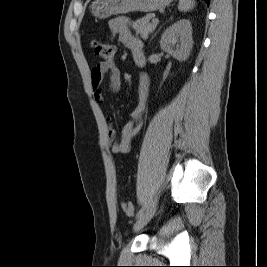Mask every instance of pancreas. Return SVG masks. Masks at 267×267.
Masks as SVG:
<instances>
[{
	"mask_svg": "<svg viewBox=\"0 0 267 267\" xmlns=\"http://www.w3.org/2000/svg\"><path fill=\"white\" fill-rule=\"evenodd\" d=\"M152 18L153 16L151 14H147L132 23V28L135 30L137 35L141 36L142 39L146 40L149 34L152 33L157 26V24L150 22Z\"/></svg>",
	"mask_w": 267,
	"mask_h": 267,
	"instance_id": "pancreas-1",
	"label": "pancreas"
}]
</instances>
